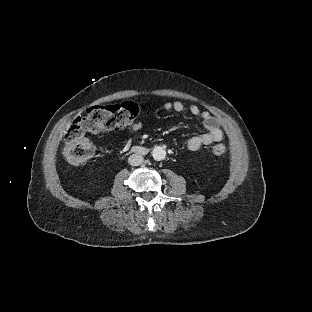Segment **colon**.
<instances>
[{
	"label": "colon",
	"instance_id": "colon-1",
	"mask_svg": "<svg viewBox=\"0 0 312 312\" xmlns=\"http://www.w3.org/2000/svg\"><path fill=\"white\" fill-rule=\"evenodd\" d=\"M143 111L139 103L122 102L102 104L90 107L85 116L65 130L63 135V153L72 166L85 163L92 155L94 146L87 134H99L116 126L135 123ZM227 150L225 143L215 144L211 151L220 156Z\"/></svg>",
	"mask_w": 312,
	"mask_h": 312
}]
</instances>
